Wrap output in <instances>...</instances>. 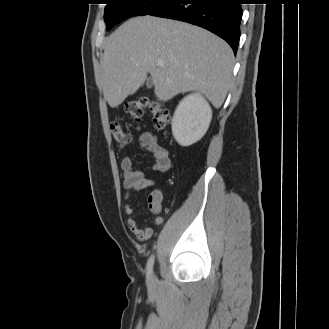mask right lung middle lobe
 I'll use <instances>...</instances> for the list:
<instances>
[{
  "label": "right lung middle lobe",
  "mask_w": 329,
  "mask_h": 329,
  "mask_svg": "<svg viewBox=\"0 0 329 329\" xmlns=\"http://www.w3.org/2000/svg\"><path fill=\"white\" fill-rule=\"evenodd\" d=\"M172 0H106L104 12V20L106 28L110 29L131 16L147 15L162 6L168 4Z\"/></svg>",
  "instance_id": "dd1d6c3e"
}]
</instances>
